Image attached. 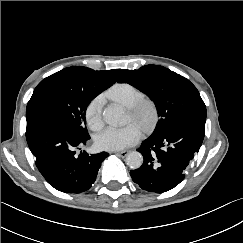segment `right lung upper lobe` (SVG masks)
Listing matches in <instances>:
<instances>
[{"label": "right lung upper lobe", "mask_w": 243, "mask_h": 243, "mask_svg": "<svg viewBox=\"0 0 243 243\" xmlns=\"http://www.w3.org/2000/svg\"><path fill=\"white\" fill-rule=\"evenodd\" d=\"M122 71V69L95 71L82 66H72L63 69V72H66L71 76L72 82L75 85L83 89L102 91L114 84Z\"/></svg>", "instance_id": "right-lung-upper-lobe-1"}]
</instances>
